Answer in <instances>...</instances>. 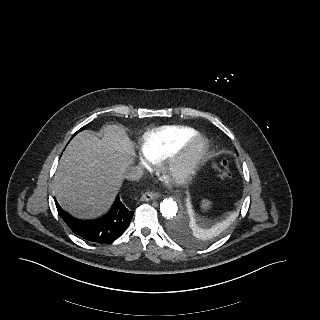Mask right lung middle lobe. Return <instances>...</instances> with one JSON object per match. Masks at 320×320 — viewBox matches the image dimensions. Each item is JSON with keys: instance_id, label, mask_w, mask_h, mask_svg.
Wrapping results in <instances>:
<instances>
[{"instance_id": "obj_1", "label": "right lung middle lobe", "mask_w": 320, "mask_h": 320, "mask_svg": "<svg viewBox=\"0 0 320 320\" xmlns=\"http://www.w3.org/2000/svg\"><path fill=\"white\" fill-rule=\"evenodd\" d=\"M84 127H85V126H84ZM84 127H82L80 130H78L76 133H78V132L82 131V130L84 129ZM76 133H75V134H76Z\"/></svg>"}]
</instances>
